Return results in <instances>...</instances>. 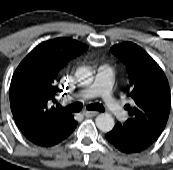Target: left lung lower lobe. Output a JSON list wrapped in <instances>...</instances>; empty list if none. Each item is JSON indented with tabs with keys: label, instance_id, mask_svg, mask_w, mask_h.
<instances>
[{
	"label": "left lung lower lobe",
	"instance_id": "obj_1",
	"mask_svg": "<svg viewBox=\"0 0 173 170\" xmlns=\"http://www.w3.org/2000/svg\"><path fill=\"white\" fill-rule=\"evenodd\" d=\"M105 138L116 149L127 154L142 152L150 146L140 142L136 137L127 134L125 130L119 128L117 124L112 131L105 135Z\"/></svg>",
	"mask_w": 173,
	"mask_h": 170
}]
</instances>
